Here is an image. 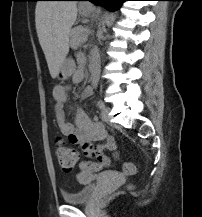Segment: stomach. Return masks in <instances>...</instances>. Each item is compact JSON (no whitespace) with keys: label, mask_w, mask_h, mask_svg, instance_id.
<instances>
[{"label":"stomach","mask_w":202,"mask_h":217,"mask_svg":"<svg viewBox=\"0 0 202 217\" xmlns=\"http://www.w3.org/2000/svg\"><path fill=\"white\" fill-rule=\"evenodd\" d=\"M81 12L84 15H89L91 13V9H82ZM74 71L75 64L70 60H65L57 73V78L59 80H66L74 73Z\"/></svg>","instance_id":"0dacf381"}]
</instances>
